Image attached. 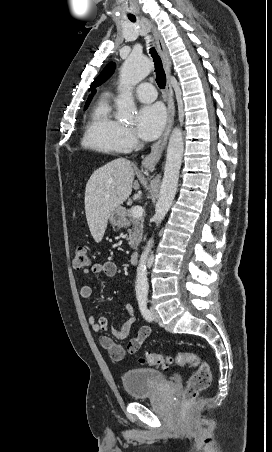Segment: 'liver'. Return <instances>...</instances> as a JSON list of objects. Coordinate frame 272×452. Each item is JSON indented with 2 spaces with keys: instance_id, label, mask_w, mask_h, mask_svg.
<instances>
[{
  "instance_id": "liver-1",
  "label": "liver",
  "mask_w": 272,
  "mask_h": 452,
  "mask_svg": "<svg viewBox=\"0 0 272 452\" xmlns=\"http://www.w3.org/2000/svg\"><path fill=\"white\" fill-rule=\"evenodd\" d=\"M134 170L129 160L115 159L98 168L86 184L85 212L91 235L101 242L110 214L132 192Z\"/></svg>"
}]
</instances>
